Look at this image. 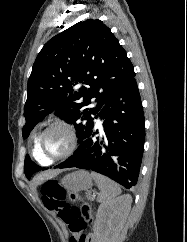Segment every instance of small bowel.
<instances>
[{
	"mask_svg": "<svg viewBox=\"0 0 187 242\" xmlns=\"http://www.w3.org/2000/svg\"><path fill=\"white\" fill-rule=\"evenodd\" d=\"M89 237H90V242H96L92 235H90Z\"/></svg>",
	"mask_w": 187,
	"mask_h": 242,
	"instance_id": "c3829d8e",
	"label": "small bowel"
}]
</instances>
